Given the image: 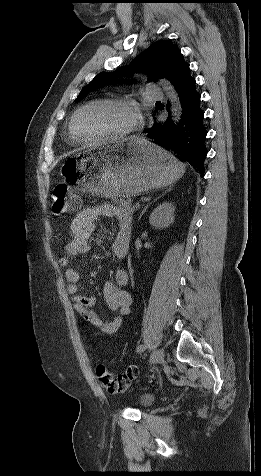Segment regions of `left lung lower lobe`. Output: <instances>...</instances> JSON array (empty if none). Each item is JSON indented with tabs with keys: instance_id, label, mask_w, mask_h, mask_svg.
<instances>
[{
	"instance_id": "0a47b994",
	"label": "left lung lower lobe",
	"mask_w": 261,
	"mask_h": 476,
	"mask_svg": "<svg viewBox=\"0 0 261 476\" xmlns=\"http://www.w3.org/2000/svg\"><path fill=\"white\" fill-rule=\"evenodd\" d=\"M174 88L181 105L178 122L175 123L169 114L165 122L155 124L149 130L148 138L173 153L180 161L191 164L203 177L207 131L203 124L204 112L200 108L201 96L196 90V81L190 74L189 66L181 73ZM166 108H170L169 102Z\"/></svg>"
}]
</instances>
